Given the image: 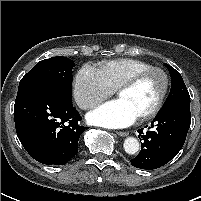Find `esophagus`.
<instances>
[{
  "label": "esophagus",
  "mask_w": 201,
  "mask_h": 201,
  "mask_svg": "<svg viewBox=\"0 0 201 201\" xmlns=\"http://www.w3.org/2000/svg\"><path fill=\"white\" fill-rule=\"evenodd\" d=\"M116 134H117L118 136L125 137V136L128 135V132H125V131H117Z\"/></svg>",
  "instance_id": "1"
}]
</instances>
